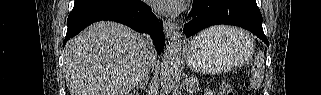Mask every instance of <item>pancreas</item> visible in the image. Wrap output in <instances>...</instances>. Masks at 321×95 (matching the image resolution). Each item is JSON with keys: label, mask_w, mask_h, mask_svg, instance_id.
<instances>
[{"label": "pancreas", "mask_w": 321, "mask_h": 95, "mask_svg": "<svg viewBox=\"0 0 321 95\" xmlns=\"http://www.w3.org/2000/svg\"><path fill=\"white\" fill-rule=\"evenodd\" d=\"M184 83L186 84V89L190 95H194L199 90V81L194 75L186 78Z\"/></svg>", "instance_id": "pancreas-1"}]
</instances>
